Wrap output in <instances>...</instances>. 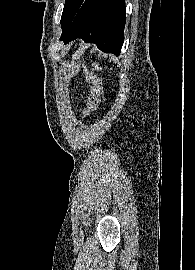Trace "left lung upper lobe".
Returning <instances> with one entry per match:
<instances>
[{
	"label": "left lung upper lobe",
	"mask_w": 195,
	"mask_h": 270,
	"mask_svg": "<svg viewBox=\"0 0 195 270\" xmlns=\"http://www.w3.org/2000/svg\"><path fill=\"white\" fill-rule=\"evenodd\" d=\"M84 1L85 0H65L61 17L62 31L70 25Z\"/></svg>",
	"instance_id": "obj_1"
}]
</instances>
